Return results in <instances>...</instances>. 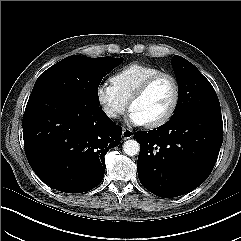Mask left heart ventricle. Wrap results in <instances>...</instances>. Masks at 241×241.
<instances>
[{
    "instance_id": "b2bd125f",
    "label": "left heart ventricle",
    "mask_w": 241,
    "mask_h": 241,
    "mask_svg": "<svg viewBox=\"0 0 241 241\" xmlns=\"http://www.w3.org/2000/svg\"><path fill=\"white\" fill-rule=\"evenodd\" d=\"M173 98L172 81L168 78H161L133 104L131 111L135 112L145 124L150 123L161 118L168 111Z\"/></svg>"
}]
</instances>
